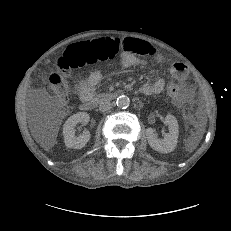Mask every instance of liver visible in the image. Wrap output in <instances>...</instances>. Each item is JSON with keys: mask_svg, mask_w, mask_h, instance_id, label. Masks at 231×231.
I'll return each mask as SVG.
<instances>
[{"mask_svg": "<svg viewBox=\"0 0 231 231\" xmlns=\"http://www.w3.org/2000/svg\"><path fill=\"white\" fill-rule=\"evenodd\" d=\"M55 131H57V127L55 129ZM41 146L44 147L45 149H49L51 146H53L54 144V137L52 139H49L48 141H41L40 142Z\"/></svg>", "mask_w": 231, "mask_h": 231, "instance_id": "1", "label": "liver"}]
</instances>
